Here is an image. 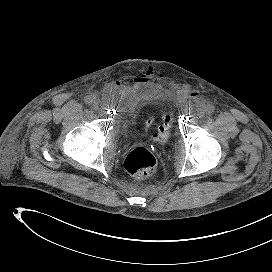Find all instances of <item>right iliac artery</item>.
<instances>
[{"label": "right iliac artery", "mask_w": 272, "mask_h": 272, "mask_svg": "<svg viewBox=\"0 0 272 272\" xmlns=\"http://www.w3.org/2000/svg\"><path fill=\"white\" fill-rule=\"evenodd\" d=\"M85 103L88 104V105H91L92 104V98L90 96H87L85 98Z\"/></svg>", "instance_id": "obj_1"}]
</instances>
